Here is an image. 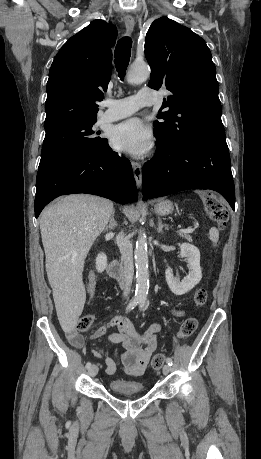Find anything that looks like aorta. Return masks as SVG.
<instances>
[{
    "instance_id": "aorta-1",
    "label": "aorta",
    "mask_w": 261,
    "mask_h": 459,
    "mask_svg": "<svg viewBox=\"0 0 261 459\" xmlns=\"http://www.w3.org/2000/svg\"><path fill=\"white\" fill-rule=\"evenodd\" d=\"M149 76L150 68L147 64H134L127 73V81L129 84L137 85L145 82ZM134 257L136 266L135 299L145 301L149 290V273L147 239L144 230L140 231V235L136 241Z\"/></svg>"
}]
</instances>
